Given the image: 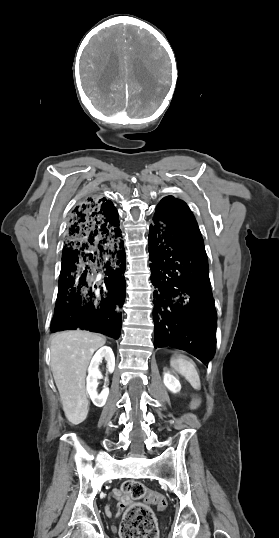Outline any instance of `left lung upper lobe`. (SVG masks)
Returning <instances> with one entry per match:
<instances>
[{
	"label": "left lung upper lobe",
	"instance_id": "5c2ea615",
	"mask_svg": "<svg viewBox=\"0 0 279 538\" xmlns=\"http://www.w3.org/2000/svg\"><path fill=\"white\" fill-rule=\"evenodd\" d=\"M155 226H169L199 231L194 215L187 204L173 196L164 197L156 208ZM200 232V231H199Z\"/></svg>",
	"mask_w": 279,
	"mask_h": 538
}]
</instances>
